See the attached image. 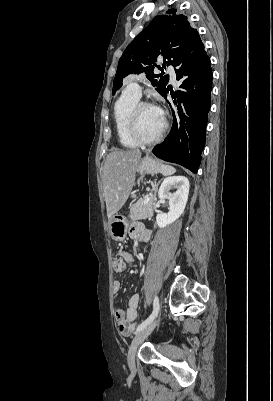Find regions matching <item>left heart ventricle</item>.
<instances>
[{"label":"left heart ventricle","instance_id":"obj_1","mask_svg":"<svg viewBox=\"0 0 273 401\" xmlns=\"http://www.w3.org/2000/svg\"><path fill=\"white\" fill-rule=\"evenodd\" d=\"M137 125L143 137L152 138L161 131L163 121L157 117L152 107L143 106L137 113Z\"/></svg>","mask_w":273,"mask_h":401}]
</instances>
